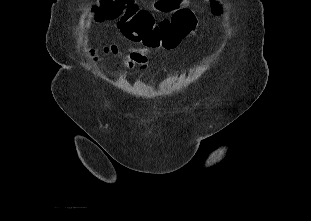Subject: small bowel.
Returning <instances> with one entry per match:
<instances>
[{"label":"small bowel","mask_w":311,"mask_h":221,"mask_svg":"<svg viewBox=\"0 0 311 221\" xmlns=\"http://www.w3.org/2000/svg\"><path fill=\"white\" fill-rule=\"evenodd\" d=\"M159 9V8H158ZM177 11V8H176ZM110 46H117L112 44ZM109 46L107 47V52ZM151 50L146 48H128L126 53H111L122 58V64L127 69H133L135 66H140L144 71L148 68L149 57Z\"/></svg>","instance_id":"1"}]
</instances>
